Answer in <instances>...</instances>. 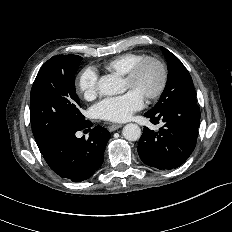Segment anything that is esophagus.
Returning a JSON list of instances; mask_svg holds the SVG:
<instances>
[{
	"mask_svg": "<svg viewBox=\"0 0 232 232\" xmlns=\"http://www.w3.org/2000/svg\"><path fill=\"white\" fill-rule=\"evenodd\" d=\"M121 127H122L121 124H113V125L109 126V131H110V132H113V131H115V130L121 128Z\"/></svg>",
	"mask_w": 232,
	"mask_h": 232,
	"instance_id": "esophagus-1",
	"label": "esophagus"
}]
</instances>
